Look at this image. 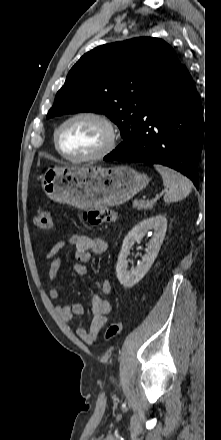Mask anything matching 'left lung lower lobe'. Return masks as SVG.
I'll return each mask as SVG.
<instances>
[{
	"label": "left lung lower lobe",
	"instance_id": "left-lung-lower-lobe-1",
	"mask_svg": "<svg viewBox=\"0 0 221 440\" xmlns=\"http://www.w3.org/2000/svg\"><path fill=\"white\" fill-rule=\"evenodd\" d=\"M203 142L202 105L192 77L180 64L147 103L129 141L104 160L162 164L186 175L198 188Z\"/></svg>",
	"mask_w": 221,
	"mask_h": 440
}]
</instances>
